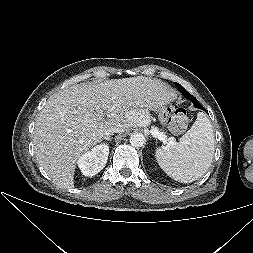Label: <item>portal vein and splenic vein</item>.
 Masks as SVG:
<instances>
[{"label":"portal vein and splenic vein","instance_id":"portal-vein-and-splenic-vein-1","mask_svg":"<svg viewBox=\"0 0 253 253\" xmlns=\"http://www.w3.org/2000/svg\"><path fill=\"white\" fill-rule=\"evenodd\" d=\"M151 134L153 135V137L158 138L159 140H161L163 142L167 141V136L163 132H160L156 128L151 130Z\"/></svg>","mask_w":253,"mask_h":253}]
</instances>
